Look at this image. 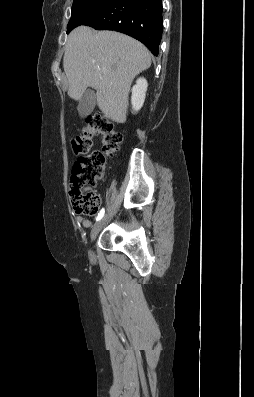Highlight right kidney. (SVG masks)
<instances>
[{"mask_svg": "<svg viewBox=\"0 0 254 397\" xmlns=\"http://www.w3.org/2000/svg\"><path fill=\"white\" fill-rule=\"evenodd\" d=\"M148 83L145 78H139L132 88L131 103L134 111H138L145 101Z\"/></svg>", "mask_w": 254, "mask_h": 397, "instance_id": "ca27d5eb", "label": "right kidney"}]
</instances>
